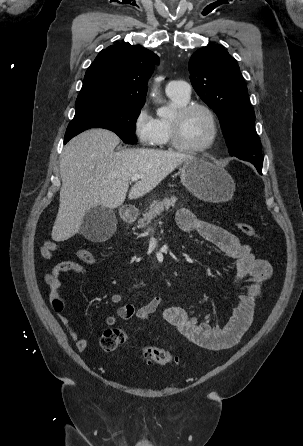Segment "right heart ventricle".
Returning <instances> with one entry per match:
<instances>
[{
	"label": "right heart ventricle",
	"instance_id": "1",
	"mask_svg": "<svg viewBox=\"0 0 303 446\" xmlns=\"http://www.w3.org/2000/svg\"><path fill=\"white\" fill-rule=\"evenodd\" d=\"M171 104L175 108L186 105L189 102V97H183L178 94L167 93ZM157 120L158 136L155 142L156 146L165 147L170 144V130H169V120L170 118L160 117Z\"/></svg>",
	"mask_w": 303,
	"mask_h": 446
}]
</instances>
